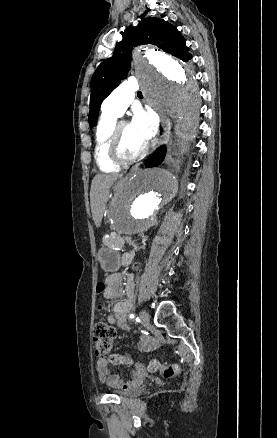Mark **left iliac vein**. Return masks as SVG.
<instances>
[{"label":"left iliac vein","mask_w":277,"mask_h":438,"mask_svg":"<svg viewBox=\"0 0 277 438\" xmlns=\"http://www.w3.org/2000/svg\"><path fill=\"white\" fill-rule=\"evenodd\" d=\"M140 320H141V323H142L143 325L148 324L149 321H150L149 313L146 312L145 310H142V311L140 312Z\"/></svg>","instance_id":"obj_1"}]
</instances>
